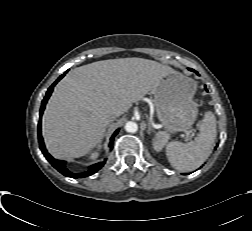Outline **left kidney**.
Here are the masks:
<instances>
[{
	"label": "left kidney",
	"instance_id": "obj_1",
	"mask_svg": "<svg viewBox=\"0 0 252 231\" xmlns=\"http://www.w3.org/2000/svg\"><path fill=\"white\" fill-rule=\"evenodd\" d=\"M167 141V136L164 134L157 135V137L154 139L153 146L156 151H161L163 146L165 145Z\"/></svg>",
	"mask_w": 252,
	"mask_h": 231
}]
</instances>
